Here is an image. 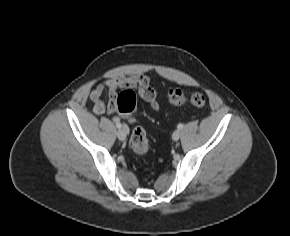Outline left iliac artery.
I'll return each mask as SVG.
<instances>
[{
    "label": "left iliac artery",
    "mask_w": 290,
    "mask_h": 236,
    "mask_svg": "<svg viewBox=\"0 0 290 236\" xmlns=\"http://www.w3.org/2000/svg\"><path fill=\"white\" fill-rule=\"evenodd\" d=\"M177 128L178 129H182L183 128V124H178Z\"/></svg>",
    "instance_id": "obj_1"
}]
</instances>
